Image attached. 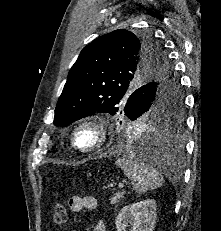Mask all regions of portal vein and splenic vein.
Instances as JSON below:
<instances>
[{"instance_id":"portal-vein-and-splenic-vein-1","label":"portal vein and splenic vein","mask_w":221,"mask_h":231,"mask_svg":"<svg viewBox=\"0 0 221 231\" xmlns=\"http://www.w3.org/2000/svg\"><path fill=\"white\" fill-rule=\"evenodd\" d=\"M124 187V183H119L118 188L122 189Z\"/></svg>"}]
</instances>
